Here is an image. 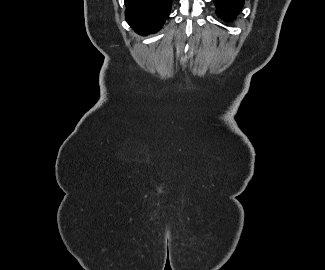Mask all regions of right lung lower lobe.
Here are the masks:
<instances>
[{"mask_svg":"<svg viewBox=\"0 0 325 270\" xmlns=\"http://www.w3.org/2000/svg\"><path fill=\"white\" fill-rule=\"evenodd\" d=\"M127 23L139 34L157 32L168 18L172 0H124Z\"/></svg>","mask_w":325,"mask_h":270,"instance_id":"right-lung-lower-lobe-1","label":"right lung lower lobe"}]
</instances>
